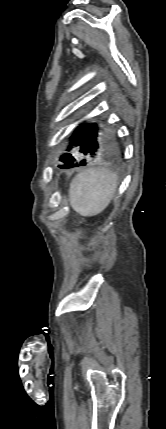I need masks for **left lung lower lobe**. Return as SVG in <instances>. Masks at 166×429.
Wrapping results in <instances>:
<instances>
[{"mask_svg":"<svg viewBox=\"0 0 166 429\" xmlns=\"http://www.w3.org/2000/svg\"><path fill=\"white\" fill-rule=\"evenodd\" d=\"M97 125L94 124H88V123H81L79 126L75 129L73 135L71 136V145L73 146H79L80 152L84 153L85 155L90 153L94 154L98 149V143H97ZM72 148V146H69L67 151H69ZM62 164L58 165L61 169H68L73 167H78L79 165H86V160L83 159L80 162H77V160L70 154V153H64L60 156L59 159Z\"/></svg>","mask_w":166,"mask_h":429,"instance_id":"0a47b994","label":"left lung lower lobe"}]
</instances>
